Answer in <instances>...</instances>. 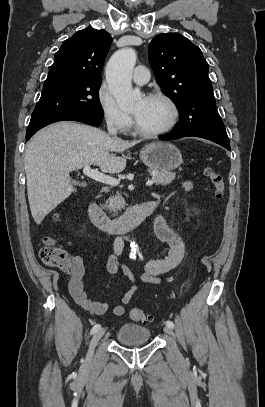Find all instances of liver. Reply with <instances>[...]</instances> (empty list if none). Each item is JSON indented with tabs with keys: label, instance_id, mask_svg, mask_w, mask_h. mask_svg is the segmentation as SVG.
Segmentation results:
<instances>
[{
	"label": "liver",
	"instance_id": "liver-1",
	"mask_svg": "<svg viewBox=\"0 0 265 407\" xmlns=\"http://www.w3.org/2000/svg\"><path fill=\"white\" fill-rule=\"evenodd\" d=\"M140 141H125L111 137L95 127L61 121L36 133L29 141L24 155L27 194L32 217L36 224L76 189L70 172L94 165L105 173H119L126 159L117 157Z\"/></svg>",
	"mask_w": 265,
	"mask_h": 407
}]
</instances>
